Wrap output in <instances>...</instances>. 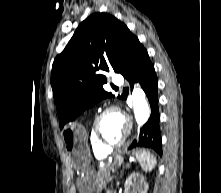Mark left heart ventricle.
Listing matches in <instances>:
<instances>
[{"instance_id":"obj_1","label":"left heart ventricle","mask_w":221,"mask_h":193,"mask_svg":"<svg viewBox=\"0 0 221 193\" xmlns=\"http://www.w3.org/2000/svg\"><path fill=\"white\" fill-rule=\"evenodd\" d=\"M125 118L119 112L107 113L100 122V133L108 142H117L126 130Z\"/></svg>"}]
</instances>
